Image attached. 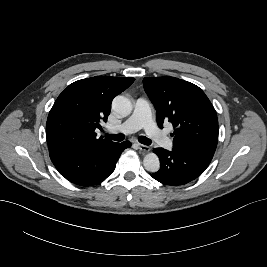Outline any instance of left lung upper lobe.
Masks as SVG:
<instances>
[{"mask_svg": "<svg viewBox=\"0 0 267 267\" xmlns=\"http://www.w3.org/2000/svg\"><path fill=\"white\" fill-rule=\"evenodd\" d=\"M145 92L156 108L160 128H175L173 148L213 157L218 142V119L208 97L198 86L175 77H145Z\"/></svg>", "mask_w": 267, "mask_h": 267, "instance_id": "obj_1", "label": "left lung upper lobe"}]
</instances>
